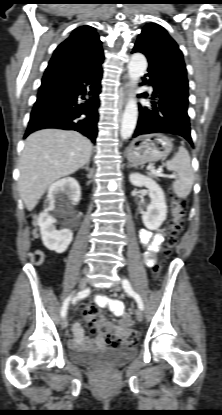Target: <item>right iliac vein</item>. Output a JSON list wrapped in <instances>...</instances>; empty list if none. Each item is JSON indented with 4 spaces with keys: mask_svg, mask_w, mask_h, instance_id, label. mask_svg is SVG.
Here are the masks:
<instances>
[{
    "mask_svg": "<svg viewBox=\"0 0 222 415\" xmlns=\"http://www.w3.org/2000/svg\"><path fill=\"white\" fill-rule=\"evenodd\" d=\"M87 284H88V279L86 277H83L79 282L77 290L81 291V290L85 289L87 287ZM61 325H62V328H66L68 326L67 317H64V319L62 320Z\"/></svg>",
    "mask_w": 222,
    "mask_h": 415,
    "instance_id": "right-iliac-vein-1",
    "label": "right iliac vein"
}]
</instances>
